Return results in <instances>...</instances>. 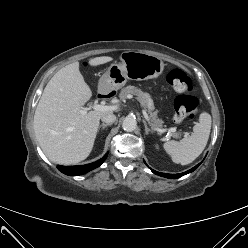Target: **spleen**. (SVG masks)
Instances as JSON below:
<instances>
[{
	"label": "spleen",
	"instance_id": "obj_1",
	"mask_svg": "<svg viewBox=\"0 0 248 248\" xmlns=\"http://www.w3.org/2000/svg\"><path fill=\"white\" fill-rule=\"evenodd\" d=\"M211 122V115L202 112L190 137L183 138L179 142L171 140L164 143L163 147L174 163L190 164L203 152L209 139Z\"/></svg>",
	"mask_w": 248,
	"mask_h": 248
}]
</instances>
